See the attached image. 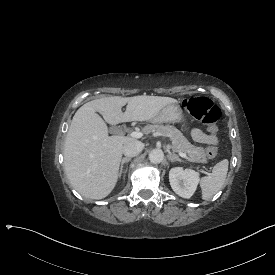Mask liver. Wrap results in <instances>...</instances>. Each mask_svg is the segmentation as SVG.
I'll return each mask as SVG.
<instances>
[{
    "instance_id": "6515ba94",
    "label": "liver",
    "mask_w": 275,
    "mask_h": 275,
    "mask_svg": "<svg viewBox=\"0 0 275 275\" xmlns=\"http://www.w3.org/2000/svg\"><path fill=\"white\" fill-rule=\"evenodd\" d=\"M176 102V99L160 96H114L81 106L72 119L64 144L65 173L73 188L86 198L102 199L116 185L123 145L136 140L108 136L104 120L111 125L149 121L163 107ZM126 104V111L122 112Z\"/></svg>"
}]
</instances>
